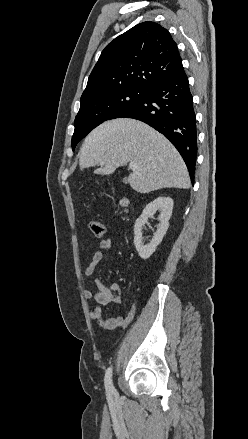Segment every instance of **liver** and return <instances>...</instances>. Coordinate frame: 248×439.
<instances>
[{
  "label": "liver",
  "instance_id": "liver-1",
  "mask_svg": "<svg viewBox=\"0 0 248 439\" xmlns=\"http://www.w3.org/2000/svg\"><path fill=\"white\" fill-rule=\"evenodd\" d=\"M131 162L139 169L133 170L128 182L139 193L190 187L188 170L179 152L162 134L141 121H106L86 137L81 147V169L104 163L95 170L96 174H112Z\"/></svg>",
  "mask_w": 248,
  "mask_h": 439
}]
</instances>
